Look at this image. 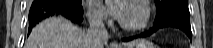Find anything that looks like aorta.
<instances>
[{
    "label": "aorta",
    "mask_w": 213,
    "mask_h": 48,
    "mask_svg": "<svg viewBox=\"0 0 213 48\" xmlns=\"http://www.w3.org/2000/svg\"><path fill=\"white\" fill-rule=\"evenodd\" d=\"M106 2L110 3L112 0H105Z\"/></svg>",
    "instance_id": "1"
}]
</instances>
